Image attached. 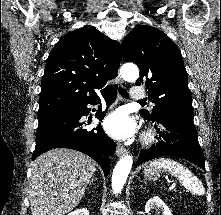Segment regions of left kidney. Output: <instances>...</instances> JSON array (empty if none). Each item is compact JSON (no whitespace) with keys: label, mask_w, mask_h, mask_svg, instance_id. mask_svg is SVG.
<instances>
[{"label":"left kidney","mask_w":221,"mask_h":215,"mask_svg":"<svg viewBox=\"0 0 221 215\" xmlns=\"http://www.w3.org/2000/svg\"><path fill=\"white\" fill-rule=\"evenodd\" d=\"M153 209H161L163 215H172L168 206L158 196L150 198L145 205V212L147 215H151L150 211Z\"/></svg>","instance_id":"1"}]
</instances>
